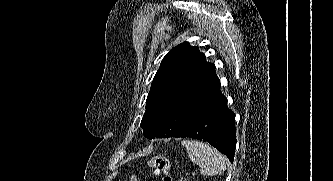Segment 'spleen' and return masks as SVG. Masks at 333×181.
Segmentation results:
<instances>
[{
  "mask_svg": "<svg viewBox=\"0 0 333 181\" xmlns=\"http://www.w3.org/2000/svg\"><path fill=\"white\" fill-rule=\"evenodd\" d=\"M188 152L190 160L200 166L204 176L220 175L226 170V158L210 145L196 140L181 142Z\"/></svg>",
  "mask_w": 333,
  "mask_h": 181,
  "instance_id": "1",
  "label": "spleen"
}]
</instances>
